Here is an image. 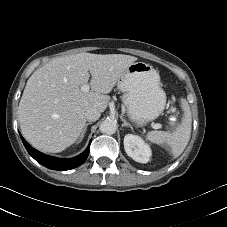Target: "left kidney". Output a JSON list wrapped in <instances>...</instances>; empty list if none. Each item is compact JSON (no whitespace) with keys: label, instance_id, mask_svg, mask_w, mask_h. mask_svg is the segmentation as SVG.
<instances>
[{"label":"left kidney","instance_id":"obj_1","mask_svg":"<svg viewBox=\"0 0 227 227\" xmlns=\"http://www.w3.org/2000/svg\"><path fill=\"white\" fill-rule=\"evenodd\" d=\"M124 149L129 157L139 163H147L152 155L150 146L141 137L133 134L125 135Z\"/></svg>","mask_w":227,"mask_h":227}]
</instances>
